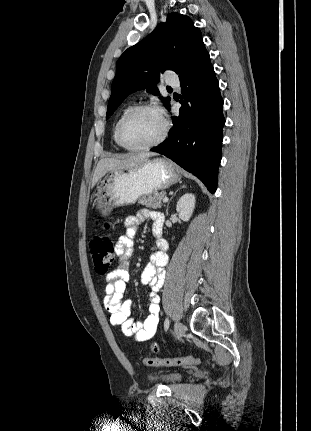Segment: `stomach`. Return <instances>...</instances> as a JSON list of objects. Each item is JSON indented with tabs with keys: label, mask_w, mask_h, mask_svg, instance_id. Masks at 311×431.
I'll use <instances>...</instances> for the list:
<instances>
[{
	"label": "stomach",
	"mask_w": 311,
	"mask_h": 431,
	"mask_svg": "<svg viewBox=\"0 0 311 431\" xmlns=\"http://www.w3.org/2000/svg\"><path fill=\"white\" fill-rule=\"evenodd\" d=\"M181 178L179 168L170 160H147L135 170H116L106 174L97 188L93 206L99 217H107L115 208L133 206L142 196L164 192Z\"/></svg>",
	"instance_id": "1"
}]
</instances>
